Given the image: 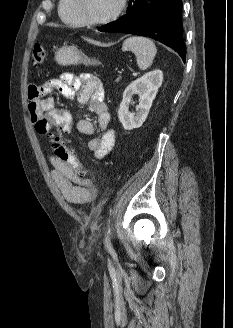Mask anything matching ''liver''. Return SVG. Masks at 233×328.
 <instances>
[{
    "mask_svg": "<svg viewBox=\"0 0 233 328\" xmlns=\"http://www.w3.org/2000/svg\"><path fill=\"white\" fill-rule=\"evenodd\" d=\"M87 41H90V42H94L93 40H90V39H86Z\"/></svg>",
    "mask_w": 233,
    "mask_h": 328,
    "instance_id": "liver-1",
    "label": "liver"
}]
</instances>
